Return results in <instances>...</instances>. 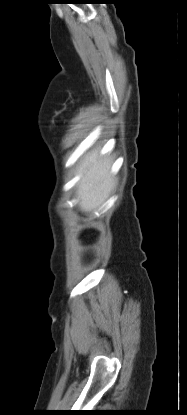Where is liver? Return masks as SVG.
Returning a JSON list of instances; mask_svg holds the SVG:
<instances>
[{
    "instance_id": "obj_1",
    "label": "liver",
    "mask_w": 187,
    "mask_h": 415,
    "mask_svg": "<svg viewBox=\"0 0 187 415\" xmlns=\"http://www.w3.org/2000/svg\"><path fill=\"white\" fill-rule=\"evenodd\" d=\"M99 151L88 153L79 167L80 180L77 185V197L82 212L97 210L109 197L115 178L111 174L110 158L98 157Z\"/></svg>"
}]
</instances>
